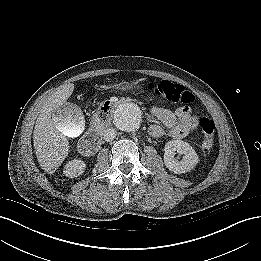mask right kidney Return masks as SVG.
Returning <instances> with one entry per match:
<instances>
[{
    "label": "right kidney",
    "instance_id": "obj_1",
    "mask_svg": "<svg viewBox=\"0 0 261 261\" xmlns=\"http://www.w3.org/2000/svg\"><path fill=\"white\" fill-rule=\"evenodd\" d=\"M86 164L84 161L80 159H74L72 161H69L65 165L64 173L66 176L70 178L77 177L81 175L85 170Z\"/></svg>",
    "mask_w": 261,
    "mask_h": 261
}]
</instances>
